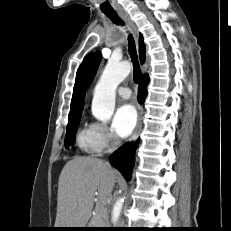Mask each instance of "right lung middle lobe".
<instances>
[{
	"label": "right lung middle lobe",
	"instance_id": "1",
	"mask_svg": "<svg viewBox=\"0 0 231 231\" xmlns=\"http://www.w3.org/2000/svg\"><path fill=\"white\" fill-rule=\"evenodd\" d=\"M80 118H81V114L68 118L67 132L65 137L66 147L73 145L75 142V134L78 128V124L80 122Z\"/></svg>",
	"mask_w": 231,
	"mask_h": 231
}]
</instances>
